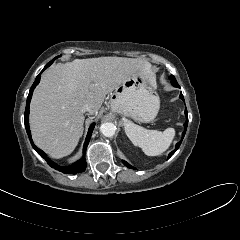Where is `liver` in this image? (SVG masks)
Instances as JSON below:
<instances>
[{"instance_id":"obj_1","label":"liver","mask_w":240,"mask_h":240,"mask_svg":"<svg viewBox=\"0 0 240 240\" xmlns=\"http://www.w3.org/2000/svg\"><path fill=\"white\" fill-rule=\"evenodd\" d=\"M136 71L156 80L143 59L99 57L53 65L43 73L30 104L34 143L52 158L71 154L83 133L82 107L87 104L89 114H97L105 96Z\"/></svg>"}]
</instances>
